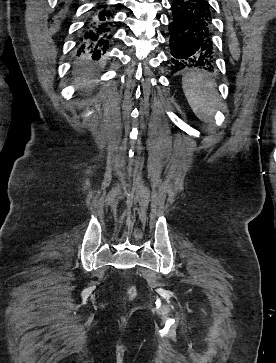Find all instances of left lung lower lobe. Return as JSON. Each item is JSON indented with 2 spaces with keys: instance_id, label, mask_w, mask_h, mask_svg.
I'll return each mask as SVG.
<instances>
[{
  "instance_id": "0a47b994",
  "label": "left lung lower lobe",
  "mask_w": 276,
  "mask_h": 363,
  "mask_svg": "<svg viewBox=\"0 0 276 363\" xmlns=\"http://www.w3.org/2000/svg\"><path fill=\"white\" fill-rule=\"evenodd\" d=\"M171 4L169 47L172 73L197 66L206 71H213L214 48L208 1L172 0Z\"/></svg>"
}]
</instances>
